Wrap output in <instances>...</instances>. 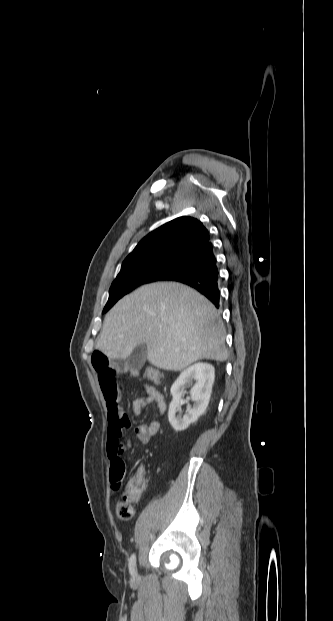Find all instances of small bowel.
I'll list each match as a JSON object with an SVG mask.
<instances>
[{"instance_id": "1", "label": "small bowel", "mask_w": 333, "mask_h": 621, "mask_svg": "<svg viewBox=\"0 0 333 621\" xmlns=\"http://www.w3.org/2000/svg\"><path fill=\"white\" fill-rule=\"evenodd\" d=\"M91 362L97 373L99 386L107 407V453L111 467L116 462H124V451L126 449V445L121 439L124 431L130 427L129 418L122 407L116 381V374L122 370L123 363L109 358L100 350H95L92 353ZM142 388L146 395L133 401L134 413L136 415H140L147 404L155 402L159 413L163 414L167 408L163 394L158 391L155 386L149 383H144ZM160 427V420L156 419L148 425L141 424L136 426L134 431L140 442L148 443L150 439L159 432Z\"/></svg>"}]
</instances>
